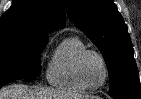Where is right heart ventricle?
Returning <instances> with one entry per match:
<instances>
[{
	"label": "right heart ventricle",
	"mask_w": 141,
	"mask_h": 99,
	"mask_svg": "<svg viewBox=\"0 0 141 99\" xmlns=\"http://www.w3.org/2000/svg\"><path fill=\"white\" fill-rule=\"evenodd\" d=\"M87 47L78 36L65 37L55 48L48 62L46 79L52 86L70 92H83L87 88L76 75V61Z\"/></svg>",
	"instance_id": "obj_1"
}]
</instances>
